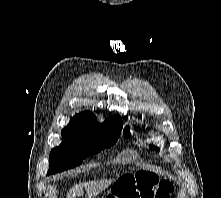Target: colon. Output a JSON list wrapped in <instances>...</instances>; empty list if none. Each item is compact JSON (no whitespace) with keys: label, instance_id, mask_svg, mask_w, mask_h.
Instances as JSON below:
<instances>
[{"label":"colon","instance_id":"5ec220e1","mask_svg":"<svg viewBox=\"0 0 221 198\" xmlns=\"http://www.w3.org/2000/svg\"><path fill=\"white\" fill-rule=\"evenodd\" d=\"M170 182L159 180L148 172L122 176L106 198H170Z\"/></svg>","mask_w":221,"mask_h":198}]
</instances>
